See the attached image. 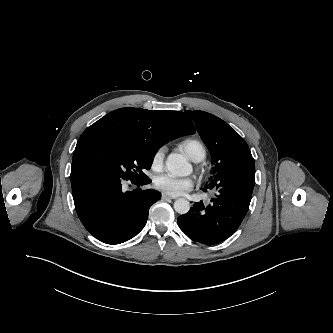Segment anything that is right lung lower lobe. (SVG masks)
<instances>
[{"label": "right lung lower lobe", "instance_id": "98d812e1", "mask_svg": "<svg viewBox=\"0 0 333 333\" xmlns=\"http://www.w3.org/2000/svg\"><path fill=\"white\" fill-rule=\"evenodd\" d=\"M70 179L79 219L95 238L107 244H120L137 235L146 224L150 206L160 198L153 189L123 192L128 179L81 157L73 158ZM130 180L137 186L150 183L149 178Z\"/></svg>", "mask_w": 333, "mask_h": 333}]
</instances>
